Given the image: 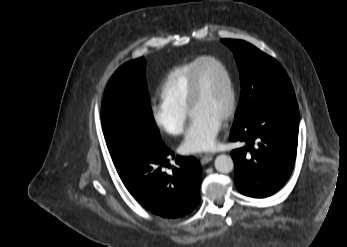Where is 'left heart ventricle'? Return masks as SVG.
Here are the masks:
<instances>
[{"label":"left heart ventricle","instance_id":"1","mask_svg":"<svg viewBox=\"0 0 347 247\" xmlns=\"http://www.w3.org/2000/svg\"><path fill=\"white\" fill-rule=\"evenodd\" d=\"M200 96L191 115L206 114L223 119L229 103V88L224 72L217 65L204 62L198 70Z\"/></svg>","mask_w":347,"mask_h":247}]
</instances>
